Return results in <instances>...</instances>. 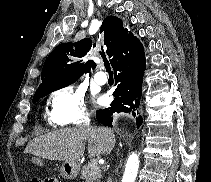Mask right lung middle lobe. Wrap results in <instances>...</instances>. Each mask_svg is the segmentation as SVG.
Returning a JSON list of instances; mask_svg holds the SVG:
<instances>
[{
	"instance_id": "1",
	"label": "right lung middle lobe",
	"mask_w": 211,
	"mask_h": 182,
	"mask_svg": "<svg viewBox=\"0 0 211 182\" xmlns=\"http://www.w3.org/2000/svg\"><path fill=\"white\" fill-rule=\"evenodd\" d=\"M74 82H71V83H74ZM71 83L66 84V85L55 86V87L49 88L47 90H44V91H42V92L34 95V97H33V103H36L40 98L48 95L49 93H51V92H53L55 90H58V89L63 88V87H66V86L70 85Z\"/></svg>"
}]
</instances>
